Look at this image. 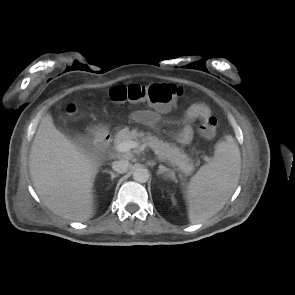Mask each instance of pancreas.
I'll use <instances>...</instances> for the list:
<instances>
[{"mask_svg": "<svg viewBox=\"0 0 295 295\" xmlns=\"http://www.w3.org/2000/svg\"><path fill=\"white\" fill-rule=\"evenodd\" d=\"M127 140L142 142L151 147L160 161L169 163L186 175H189L194 169L192 159L180 148L174 144L164 142L150 132L138 131L137 129L130 130L129 127H125L117 132L114 143L118 145Z\"/></svg>", "mask_w": 295, "mask_h": 295, "instance_id": "obj_1", "label": "pancreas"}]
</instances>
